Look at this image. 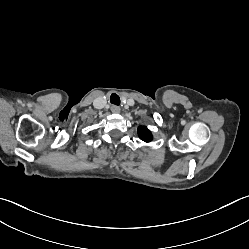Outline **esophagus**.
<instances>
[{
	"label": "esophagus",
	"instance_id": "1",
	"mask_svg": "<svg viewBox=\"0 0 249 249\" xmlns=\"http://www.w3.org/2000/svg\"><path fill=\"white\" fill-rule=\"evenodd\" d=\"M111 111L113 112V113H119L120 112V108L118 107V106H112L111 107Z\"/></svg>",
	"mask_w": 249,
	"mask_h": 249
}]
</instances>
